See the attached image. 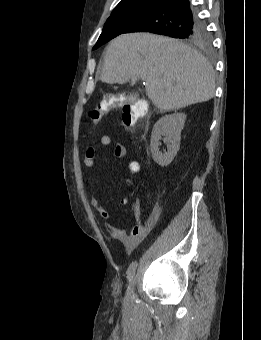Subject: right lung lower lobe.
Returning a JSON list of instances; mask_svg holds the SVG:
<instances>
[{"label": "right lung lower lobe", "mask_w": 261, "mask_h": 340, "mask_svg": "<svg viewBox=\"0 0 261 340\" xmlns=\"http://www.w3.org/2000/svg\"><path fill=\"white\" fill-rule=\"evenodd\" d=\"M198 21L189 0H161L123 33L147 31L175 37L177 34L182 35Z\"/></svg>", "instance_id": "1"}]
</instances>
